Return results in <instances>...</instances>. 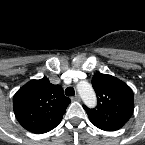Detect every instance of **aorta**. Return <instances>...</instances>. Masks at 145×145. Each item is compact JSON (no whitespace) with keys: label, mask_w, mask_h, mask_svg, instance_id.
Segmentation results:
<instances>
[{"label":"aorta","mask_w":145,"mask_h":145,"mask_svg":"<svg viewBox=\"0 0 145 145\" xmlns=\"http://www.w3.org/2000/svg\"><path fill=\"white\" fill-rule=\"evenodd\" d=\"M77 90L83 100V102L88 107H94L97 103L96 94L92 86L87 81H81L77 85Z\"/></svg>","instance_id":"aorta-1"}]
</instances>
